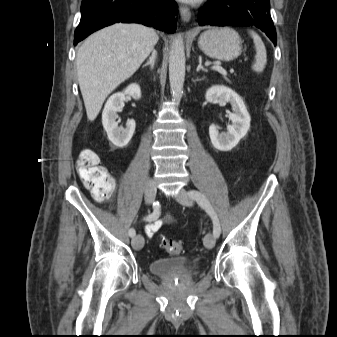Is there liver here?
Instances as JSON below:
<instances>
[{
	"label": "liver",
	"mask_w": 337,
	"mask_h": 337,
	"mask_svg": "<svg viewBox=\"0 0 337 337\" xmlns=\"http://www.w3.org/2000/svg\"><path fill=\"white\" fill-rule=\"evenodd\" d=\"M157 41L154 29L123 23L106 27L84 41L76 65L90 121L95 120L106 97L138 70Z\"/></svg>",
	"instance_id": "6515ba94"
}]
</instances>
